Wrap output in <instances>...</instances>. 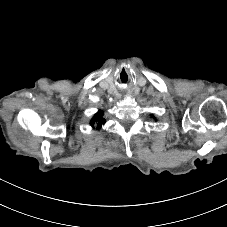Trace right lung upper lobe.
Segmentation results:
<instances>
[{
	"instance_id": "obj_1",
	"label": "right lung upper lobe",
	"mask_w": 227,
	"mask_h": 227,
	"mask_svg": "<svg viewBox=\"0 0 227 227\" xmlns=\"http://www.w3.org/2000/svg\"><path fill=\"white\" fill-rule=\"evenodd\" d=\"M104 112L99 110L94 117L91 119L90 124L94 126V124L98 125V128L105 123V119L103 118Z\"/></svg>"
}]
</instances>
